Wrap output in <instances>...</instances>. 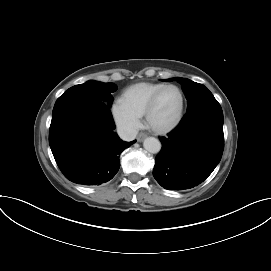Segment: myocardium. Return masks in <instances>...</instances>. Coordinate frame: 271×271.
Returning <instances> with one entry per match:
<instances>
[{"instance_id": "obj_1", "label": "myocardium", "mask_w": 271, "mask_h": 271, "mask_svg": "<svg viewBox=\"0 0 271 271\" xmlns=\"http://www.w3.org/2000/svg\"><path fill=\"white\" fill-rule=\"evenodd\" d=\"M170 88L176 89L178 91L179 95H180V107H179L178 114L170 124H168V125H166L164 127L155 126L151 121L153 111L155 110L156 105H157V103L159 101V98L161 97L163 92L166 91L167 89H170ZM184 109H185V97H184V93L181 90V88L178 87L177 85H174V84L164 85L162 88H160L151 97L150 101L148 102V104L146 106V109H145V112H144V117H145L146 124L155 133L166 134V133L172 131L174 128H176L178 126V124L182 120V117H183V114H184Z\"/></svg>"}]
</instances>
